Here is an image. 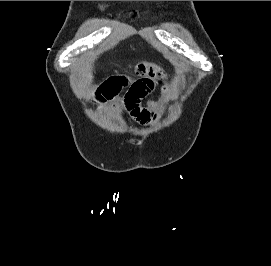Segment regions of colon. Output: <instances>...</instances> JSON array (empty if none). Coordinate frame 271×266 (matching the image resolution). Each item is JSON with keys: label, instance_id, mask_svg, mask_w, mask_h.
Wrapping results in <instances>:
<instances>
[{"label": "colon", "instance_id": "1", "mask_svg": "<svg viewBox=\"0 0 271 266\" xmlns=\"http://www.w3.org/2000/svg\"><path fill=\"white\" fill-rule=\"evenodd\" d=\"M137 71L140 74L156 76V77H166L167 73L161 69L156 64L152 63H141L137 66Z\"/></svg>", "mask_w": 271, "mask_h": 266}]
</instances>
